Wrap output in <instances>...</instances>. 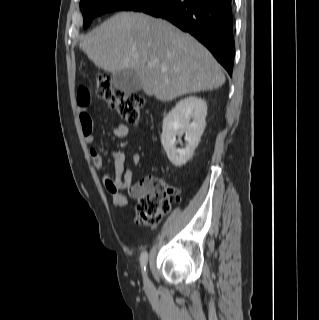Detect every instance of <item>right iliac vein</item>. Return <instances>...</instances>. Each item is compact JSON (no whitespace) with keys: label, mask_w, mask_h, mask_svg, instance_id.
Masks as SVG:
<instances>
[{"label":"right iliac vein","mask_w":319,"mask_h":320,"mask_svg":"<svg viewBox=\"0 0 319 320\" xmlns=\"http://www.w3.org/2000/svg\"><path fill=\"white\" fill-rule=\"evenodd\" d=\"M144 284H145L146 287H150L151 286V282L149 281L148 277H145Z\"/></svg>","instance_id":"right-iliac-vein-1"}]
</instances>
